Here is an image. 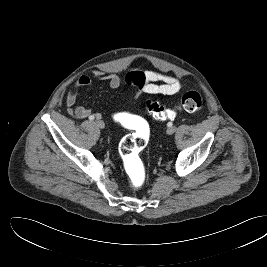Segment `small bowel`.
<instances>
[{
  "mask_svg": "<svg viewBox=\"0 0 267 267\" xmlns=\"http://www.w3.org/2000/svg\"><path fill=\"white\" fill-rule=\"evenodd\" d=\"M96 77L104 81L110 89H117L121 85V78L115 74H103L97 73ZM126 84L137 89V94L140 92L162 94V95H174L178 93L183 84L179 78L173 75L160 73L151 70H135L130 72L125 78ZM92 85V79L88 76H81L69 89L66 97L67 112L75 118H89L94 116L100 119L102 115L97 112H93L91 109L77 105V97L79 90L84 87H90Z\"/></svg>",
  "mask_w": 267,
  "mask_h": 267,
  "instance_id": "1",
  "label": "small bowel"
}]
</instances>
